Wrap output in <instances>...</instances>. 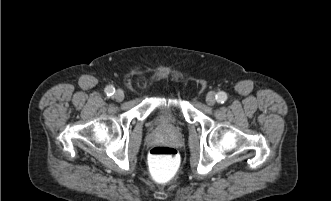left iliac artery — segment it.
Instances as JSON below:
<instances>
[{"label":"left iliac artery","instance_id":"obj_1","mask_svg":"<svg viewBox=\"0 0 331 201\" xmlns=\"http://www.w3.org/2000/svg\"><path fill=\"white\" fill-rule=\"evenodd\" d=\"M217 102L224 103L227 100V94L225 92H218L216 94Z\"/></svg>","mask_w":331,"mask_h":201}]
</instances>
